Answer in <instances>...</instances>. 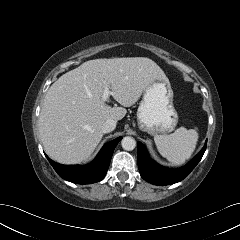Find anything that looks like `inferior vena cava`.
I'll return each mask as SVG.
<instances>
[{
	"label": "inferior vena cava",
	"mask_w": 240,
	"mask_h": 240,
	"mask_svg": "<svg viewBox=\"0 0 240 240\" xmlns=\"http://www.w3.org/2000/svg\"><path fill=\"white\" fill-rule=\"evenodd\" d=\"M115 127H116V121L113 119H108L102 125V132L109 133L113 131Z\"/></svg>",
	"instance_id": "inferior-vena-cava-1"
}]
</instances>
